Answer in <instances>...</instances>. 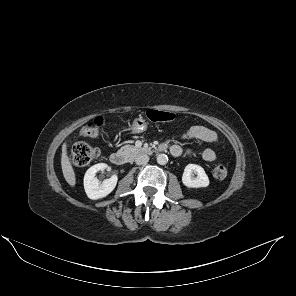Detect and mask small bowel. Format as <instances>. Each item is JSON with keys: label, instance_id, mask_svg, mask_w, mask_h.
Masks as SVG:
<instances>
[{"label": "small bowel", "instance_id": "small-bowel-1", "mask_svg": "<svg viewBox=\"0 0 296 296\" xmlns=\"http://www.w3.org/2000/svg\"><path fill=\"white\" fill-rule=\"evenodd\" d=\"M182 139L198 140L207 143L219 142L217 134L213 130L204 126H192L182 135ZM170 151L174 156H179L183 153V149L179 145H171ZM186 153L192 155L194 154V151L188 149L186 150ZM200 155L205 161L208 162H213L217 159V153L210 148L204 149Z\"/></svg>", "mask_w": 296, "mask_h": 296}]
</instances>
